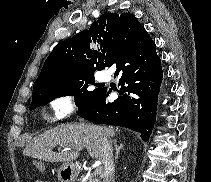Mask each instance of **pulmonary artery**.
Masks as SVG:
<instances>
[{"instance_id":"pulmonary-artery-1","label":"pulmonary artery","mask_w":211,"mask_h":182,"mask_svg":"<svg viewBox=\"0 0 211 182\" xmlns=\"http://www.w3.org/2000/svg\"><path fill=\"white\" fill-rule=\"evenodd\" d=\"M100 79H101V80H105L106 77H105V76H100Z\"/></svg>"}]
</instances>
